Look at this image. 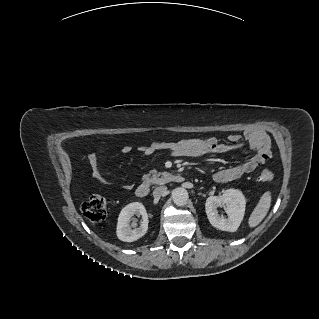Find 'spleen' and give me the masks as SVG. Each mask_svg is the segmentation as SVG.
I'll return each mask as SVG.
<instances>
[{"label":"spleen","mask_w":319,"mask_h":319,"mask_svg":"<svg viewBox=\"0 0 319 319\" xmlns=\"http://www.w3.org/2000/svg\"><path fill=\"white\" fill-rule=\"evenodd\" d=\"M271 206V194L270 192H265L254 210L252 211L249 220H248V225L249 227L253 228L256 227L261 223V221L265 218L267 215L269 209Z\"/></svg>","instance_id":"spleen-1"}]
</instances>
